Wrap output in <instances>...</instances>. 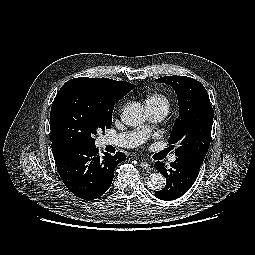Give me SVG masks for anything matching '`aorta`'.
Instances as JSON below:
<instances>
[{
	"instance_id": "obj_1",
	"label": "aorta",
	"mask_w": 255,
	"mask_h": 255,
	"mask_svg": "<svg viewBox=\"0 0 255 255\" xmlns=\"http://www.w3.org/2000/svg\"><path fill=\"white\" fill-rule=\"evenodd\" d=\"M121 120L124 124L133 127L143 124L146 120L143 105L138 102L128 103L123 109ZM147 184L153 191H160L165 187L166 179L161 173H152L147 179Z\"/></svg>"
}]
</instances>
